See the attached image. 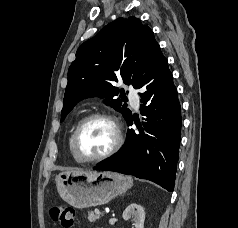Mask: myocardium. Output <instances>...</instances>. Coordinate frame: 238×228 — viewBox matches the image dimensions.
<instances>
[{
    "label": "myocardium",
    "instance_id": "myocardium-1",
    "mask_svg": "<svg viewBox=\"0 0 238 228\" xmlns=\"http://www.w3.org/2000/svg\"><path fill=\"white\" fill-rule=\"evenodd\" d=\"M94 119H103L108 121L114 128L115 132V141L113 145L103 154L93 157V158H83L79 155L78 153V139L79 135L84 128V126L89 123L90 121ZM123 143V136L121 132V127L119 125V122L116 120V118L106 112H93L88 115H86L84 118H82L79 123L76 126V129L73 134V139H72V152L75 157V159L81 163H95V162H100L102 160H105L115 154L121 147Z\"/></svg>",
    "mask_w": 238,
    "mask_h": 228
}]
</instances>
